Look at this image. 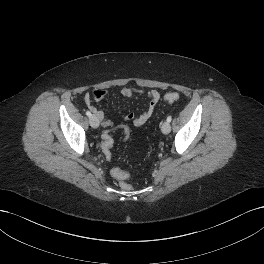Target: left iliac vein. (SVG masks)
Instances as JSON below:
<instances>
[{"mask_svg": "<svg viewBox=\"0 0 264 264\" xmlns=\"http://www.w3.org/2000/svg\"><path fill=\"white\" fill-rule=\"evenodd\" d=\"M161 130L164 134H168L171 131V125L168 121H165L162 126Z\"/></svg>", "mask_w": 264, "mask_h": 264, "instance_id": "4c4485c4", "label": "left iliac vein"}]
</instances>
